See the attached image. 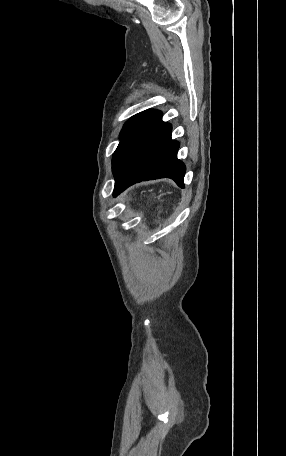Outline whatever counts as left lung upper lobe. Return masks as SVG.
<instances>
[{
  "mask_svg": "<svg viewBox=\"0 0 286 456\" xmlns=\"http://www.w3.org/2000/svg\"><path fill=\"white\" fill-rule=\"evenodd\" d=\"M161 115L162 113L158 110H146L134 115L124 124L120 133V143L112 158V172L114 176L132 143Z\"/></svg>",
  "mask_w": 286,
  "mask_h": 456,
  "instance_id": "5c2ea615",
  "label": "left lung upper lobe"
}]
</instances>
